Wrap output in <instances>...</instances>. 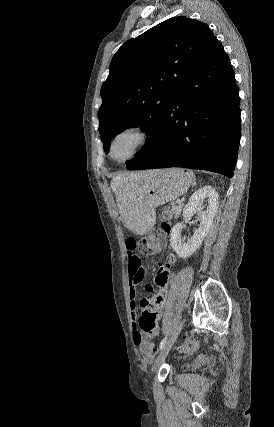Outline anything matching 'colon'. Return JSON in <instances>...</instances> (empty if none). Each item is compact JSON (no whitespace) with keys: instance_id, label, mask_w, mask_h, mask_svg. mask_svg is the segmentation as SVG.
<instances>
[{"instance_id":"5ec220e1","label":"colon","mask_w":274,"mask_h":427,"mask_svg":"<svg viewBox=\"0 0 274 427\" xmlns=\"http://www.w3.org/2000/svg\"><path fill=\"white\" fill-rule=\"evenodd\" d=\"M169 218L170 213L166 211L164 213V219L168 220ZM169 231V224L167 222H162L159 226L154 227L146 236L141 238L140 245H137V254L140 255V259H147L148 255L156 253V248H167ZM197 346V340L189 337L181 344L180 350L185 353H190L195 350ZM140 352L142 355L140 357L141 363H146L147 359L149 363L155 362L154 351L151 344L145 343V345H141Z\"/></svg>"}]
</instances>
